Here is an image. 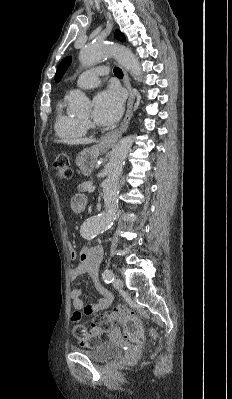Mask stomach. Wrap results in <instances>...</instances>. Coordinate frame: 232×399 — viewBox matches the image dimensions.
Listing matches in <instances>:
<instances>
[{
    "label": "stomach",
    "mask_w": 232,
    "mask_h": 399,
    "mask_svg": "<svg viewBox=\"0 0 232 399\" xmlns=\"http://www.w3.org/2000/svg\"><path fill=\"white\" fill-rule=\"evenodd\" d=\"M104 152H107V148H102V146L98 144V146H92V148H85V150L77 154L75 162L84 176H90V174H92L99 156L104 154Z\"/></svg>",
    "instance_id": "obj_1"
}]
</instances>
